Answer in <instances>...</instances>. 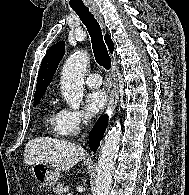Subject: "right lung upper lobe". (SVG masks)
<instances>
[{"instance_id": "1", "label": "right lung upper lobe", "mask_w": 189, "mask_h": 195, "mask_svg": "<svg viewBox=\"0 0 189 195\" xmlns=\"http://www.w3.org/2000/svg\"><path fill=\"white\" fill-rule=\"evenodd\" d=\"M105 42L110 52L112 53L114 50V44L108 34L105 35ZM64 47V41L52 45L43 58L37 78L34 101L41 99L46 91V87L51 83L52 77L56 72L58 64L65 53Z\"/></svg>"}]
</instances>
